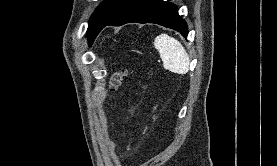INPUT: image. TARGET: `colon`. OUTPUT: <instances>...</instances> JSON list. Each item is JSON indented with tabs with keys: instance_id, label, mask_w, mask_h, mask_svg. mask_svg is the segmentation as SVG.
Segmentation results:
<instances>
[{
	"instance_id": "obj_1",
	"label": "colon",
	"mask_w": 277,
	"mask_h": 166,
	"mask_svg": "<svg viewBox=\"0 0 277 166\" xmlns=\"http://www.w3.org/2000/svg\"><path fill=\"white\" fill-rule=\"evenodd\" d=\"M125 75L126 72L124 70L117 71L111 75L109 81V88L111 91H116L120 87Z\"/></svg>"
}]
</instances>
